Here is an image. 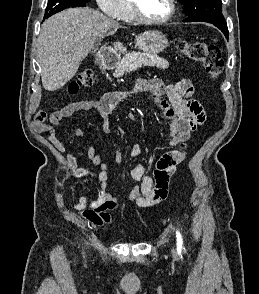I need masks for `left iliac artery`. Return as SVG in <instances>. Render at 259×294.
Segmentation results:
<instances>
[{
    "label": "left iliac artery",
    "instance_id": "44dca946",
    "mask_svg": "<svg viewBox=\"0 0 259 294\" xmlns=\"http://www.w3.org/2000/svg\"><path fill=\"white\" fill-rule=\"evenodd\" d=\"M176 240H177V251L179 254H181L182 250L184 249L183 246V238L181 236V233L177 230L176 231Z\"/></svg>",
    "mask_w": 259,
    "mask_h": 294
}]
</instances>
